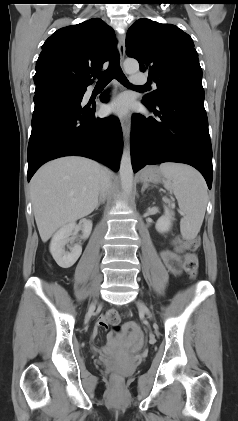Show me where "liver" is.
I'll list each match as a JSON object with an SVG mask.
<instances>
[{"instance_id": "liver-1", "label": "liver", "mask_w": 238, "mask_h": 421, "mask_svg": "<svg viewBox=\"0 0 238 421\" xmlns=\"http://www.w3.org/2000/svg\"><path fill=\"white\" fill-rule=\"evenodd\" d=\"M100 170L97 162L72 156L50 161L35 173L31 201L43 242L60 227L93 212L98 203Z\"/></svg>"}]
</instances>
